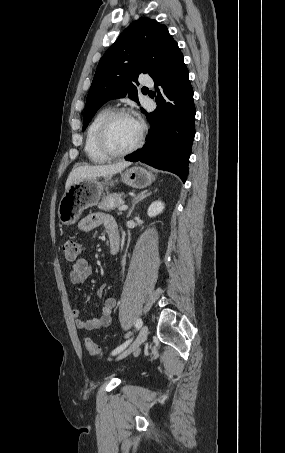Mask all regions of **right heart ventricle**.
Wrapping results in <instances>:
<instances>
[{"instance_id":"right-heart-ventricle-1","label":"right heart ventricle","mask_w":285,"mask_h":453,"mask_svg":"<svg viewBox=\"0 0 285 453\" xmlns=\"http://www.w3.org/2000/svg\"><path fill=\"white\" fill-rule=\"evenodd\" d=\"M110 112L111 110L108 107L99 110L92 118L86 131L84 150L89 161L95 164L104 163L109 159L98 147L97 134L101 123Z\"/></svg>"}]
</instances>
